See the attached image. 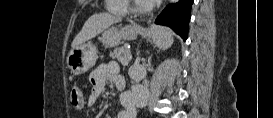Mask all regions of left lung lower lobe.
<instances>
[{"label": "left lung lower lobe", "instance_id": "1", "mask_svg": "<svg viewBox=\"0 0 273 118\" xmlns=\"http://www.w3.org/2000/svg\"><path fill=\"white\" fill-rule=\"evenodd\" d=\"M193 1L180 0L176 4L168 5L156 18L155 23L170 27L185 41L188 36V23Z\"/></svg>", "mask_w": 273, "mask_h": 118}]
</instances>
